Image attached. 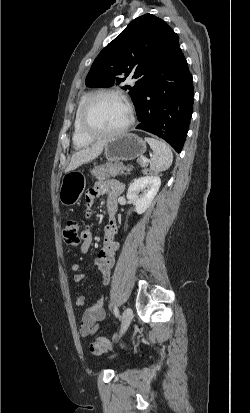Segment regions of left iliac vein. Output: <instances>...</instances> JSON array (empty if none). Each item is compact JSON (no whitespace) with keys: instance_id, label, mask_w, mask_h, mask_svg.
<instances>
[{"instance_id":"left-iliac-vein-1","label":"left iliac vein","mask_w":250,"mask_h":413,"mask_svg":"<svg viewBox=\"0 0 250 413\" xmlns=\"http://www.w3.org/2000/svg\"><path fill=\"white\" fill-rule=\"evenodd\" d=\"M133 318V311L130 307H127L122 314L121 334H123L129 327Z\"/></svg>"}]
</instances>
